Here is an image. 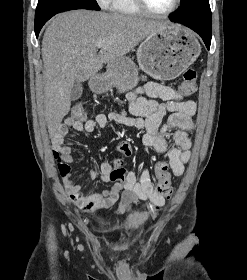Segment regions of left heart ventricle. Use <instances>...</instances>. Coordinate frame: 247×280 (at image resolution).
<instances>
[{"label":"left heart ventricle","mask_w":247,"mask_h":280,"mask_svg":"<svg viewBox=\"0 0 247 280\" xmlns=\"http://www.w3.org/2000/svg\"><path fill=\"white\" fill-rule=\"evenodd\" d=\"M147 5L156 12H165L169 10L174 0H145Z\"/></svg>","instance_id":"left-heart-ventricle-1"}]
</instances>
